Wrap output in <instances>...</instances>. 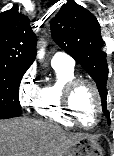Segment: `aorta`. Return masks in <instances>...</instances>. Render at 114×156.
I'll return each instance as SVG.
<instances>
[{
  "label": "aorta",
  "mask_w": 114,
  "mask_h": 156,
  "mask_svg": "<svg viewBox=\"0 0 114 156\" xmlns=\"http://www.w3.org/2000/svg\"><path fill=\"white\" fill-rule=\"evenodd\" d=\"M44 54H45L44 49L41 48V49L38 51L37 57L41 60V59L44 58Z\"/></svg>",
  "instance_id": "1"
}]
</instances>
